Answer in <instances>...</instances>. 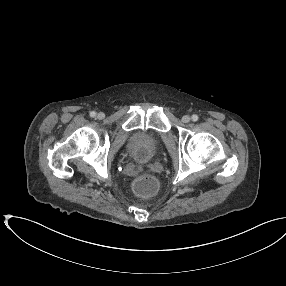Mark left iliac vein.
<instances>
[{
    "instance_id": "left-iliac-vein-1",
    "label": "left iliac vein",
    "mask_w": 286,
    "mask_h": 286,
    "mask_svg": "<svg viewBox=\"0 0 286 286\" xmlns=\"http://www.w3.org/2000/svg\"><path fill=\"white\" fill-rule=\"evenodd\" d=\"M190 120H191V117H190L189 115H184V116L182 117V121H183L184 123H188V122H190Z\"/></svg>"
}]
</instances>
